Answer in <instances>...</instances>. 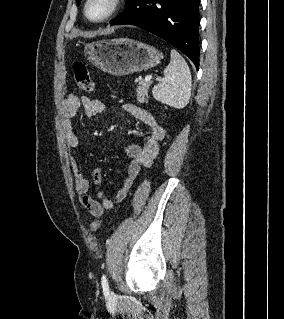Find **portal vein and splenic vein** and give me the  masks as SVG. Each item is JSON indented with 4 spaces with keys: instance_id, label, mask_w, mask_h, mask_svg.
I'll return each mask as SVG.
<instances>
[{
    "instance_id": "obj_1",
    "label": "portal vein and splenic vein",
    "mask_w": 284,
    "mask_h": 319,
    "mask_svg": "<svg viewBox=\"0 0 284 319\" xmlns=\"http://www.w3.org/2000/svg\"><path fill=\"white\" fill-rule=\"evenodd\" d=\"M151 80H152V76H151V75H147V76L145 77V81H146V82H151ZM156 80H157V81H160L161 78L158 77V78H156Z\"/></svg>"
}]
</instances>
